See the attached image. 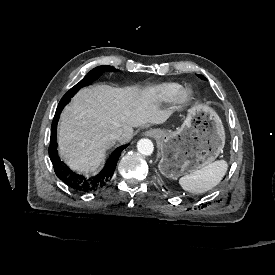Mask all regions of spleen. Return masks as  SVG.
I'll return each mask as SVG.
<instances>
[{
    "mask_svg": "<svg viewBox=\"0 0 275 275\" xmlns=\"http://www.w3.org/2000/svg\"><path fill=\"white\" fill-rule=\"evenodd\" d=\"M228 169L225 160L214 161L205 167L179 179L181 187L190 193H204L216 187Z\"/></svg>",
    "mask_w": 275,
    "mask_h": 275,
    "instance_id": "3e777b00",
    "label": "spleen"
}]
</instances>
